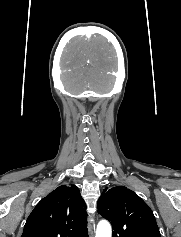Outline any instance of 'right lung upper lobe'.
Instances as JSON below:
<instances>
[{
  "instance_id": "obj_1",
  "label": "right lung upper lobe",
  "mask_w": 181,
  "mask_h": 237,
  "mask_svg": "<svg viewBox=\"0 0 181 237\" xmlns=\"http://www.w3.org/2000/svg\"><path fill=\"white\" fill-rule=\"evenodd\" d=\"M86 204L75 185H61L33 209L21 237H88Z\"/></svg>"
}]
</instances>
